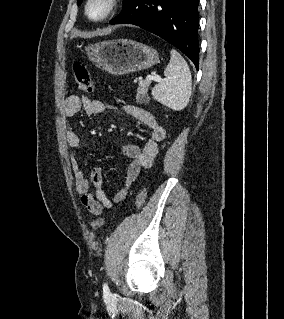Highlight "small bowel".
<instances>
[{"instance_id":"obj_1","label":"small bowel","mask_w":284,"mask_h":319,"mask_svg":"<svg viewBox=\"0 0 284 319\" xmlns=\"http://www.w3.org/2000/svg\"><path fill=\"white\" fill-rule=\"evenodd\" d=\"M111 108L103 101L90 99L86 96L69 95L62 104V111L66 120V140L68 145L81 150L83 145L76 131L70 126L69 120L76 116L81 110L87 115L94 116ZM123 110L132 118L141 122L148 131V138L143 146L126 144L122 146L123 154L129 159L124 177L123 186L118 189L109 199L102 188V171L94 168L90 177L87 178L80 167L78 157H72V169L75 177V185L78 194L81 196V204L91 214L99 216L104 209L111 208L113 203L121 202L127 193V189L138 177L142 168L152 165L157 153L158 145L166 136L165 129L157 122L155 117L148 111L126 105Z\"/></svg>"}]
</instances>
